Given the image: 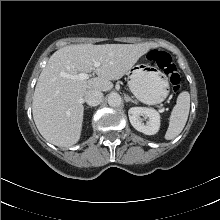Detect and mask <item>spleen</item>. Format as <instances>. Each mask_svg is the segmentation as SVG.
I'll return each mask as SVG.
<instances>
[{
	"label": "spleen",
	"instance_id": "1",
	"mask_svg": "<svg viewBox=\"0 0 220 220\" xmlns=\"http://www.w3.org/2000/svg\"><path fill=\"white\" fill-rule=\"evenodd\" d=\"M190 110V94L187 91L181 92L169 117V126L165 133L166 140L177 137L184 129Z\"/></svg>",
	"mask_w": 220,
	"mask_h": 220
}]
</instances>
